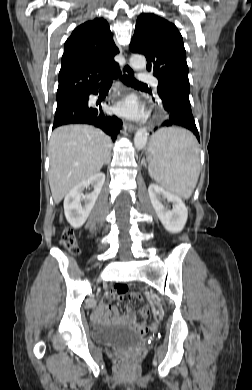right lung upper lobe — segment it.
I'll use <instances>...</instances> for the list:
<instances>
[{
  "mask_svg": "<svg viewBox=\"0 0 252 390\" xmlns=\"http://www.w3.org/2000/svg\"><path fill=\"white\" fill-rule=\"evenodd\" d=\"M119 52L106 20L96 18L78 26L64 45L57 103L97 89L119 71Z\"/></svg>",
  "mask_w": 252,
  "mask_h": 390,
  "instance_id": "cb5924a9",
  "label": "right lung upper lobe"
}]
</instances>
